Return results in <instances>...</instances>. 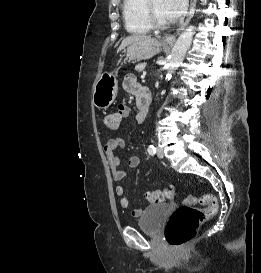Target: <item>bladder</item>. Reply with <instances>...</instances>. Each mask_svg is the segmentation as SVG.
I'll use <instances>...</instances> for the list:
<instances>
[{"mask_svg": "<svg viewBox=\"0 0 261 273\" xmlns=\"http://www.w3.org/2000/svg\"><path fill=\"white\" fill-rule=\"evenodd\" d=\"M168 210L169 206L164 203L146 206L138 220L139 228L146 233H159Z\"/></svg>", "mask_w": 261, "mask_h": 273, "instance_id": "obj_1", "label": "bladder"}]
</instances>
